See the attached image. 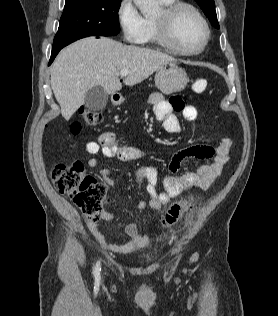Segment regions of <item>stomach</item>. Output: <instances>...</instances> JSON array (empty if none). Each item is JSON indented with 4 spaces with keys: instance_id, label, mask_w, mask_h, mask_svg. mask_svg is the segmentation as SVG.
Here are the masks:
<instances>
[{
    "instance_id": "1",
    "label": "stomach",
    "mask_w": 278,
    "mask_h": 316,
    "mask_svg": "<svg viewBox=\"0 0 278 316\" xmlns=\"http://www.w3.org/2000/svg\"><path fill=\"white\" fill-rule=\"evenodd\" d=\"M188 83L187 73L178 67L175 62H169L160 66L155 74L156 87L163 94H171L185 89ZM121 101H115L119 104Z\"/></svg>"
}]
</instances>
